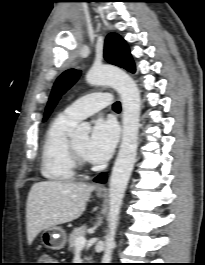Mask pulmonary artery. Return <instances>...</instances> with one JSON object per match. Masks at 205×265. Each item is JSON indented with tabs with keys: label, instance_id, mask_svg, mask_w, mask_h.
Wrapping results in <instances>:
<instances>
[{
	"label": "pulmonary artery",
	"instance_id": "e3ab8cb5",
	"mask_svg": "<svg viewBox=\"0 0 205 265\" xmlns=\"http://www.w3.org/2000/svg\"><path fill=\"white\" fill-rule=\"evenodd\" d=\"M111 102V95L109 93H91L69 105L63 111V115L74 122H78L108 107Z\"/></svg>",
	"mask_w": 205,
	"mask_h": 265
}]
</instances>
